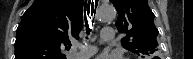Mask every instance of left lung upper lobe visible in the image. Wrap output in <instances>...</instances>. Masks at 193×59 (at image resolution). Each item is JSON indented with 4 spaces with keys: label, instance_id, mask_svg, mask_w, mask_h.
Returning a JSON list of instances; mask_svg holds the SVG:
<instances>
[{
    "label": "left lung upper lobe",
    "instance_id": "left-lung-upper-lobe-1",
    "mask_svg": "<svg viewBox=\"0 0 193 59\" xmlns=\"http://www.w3.org/2000/svg\"><path fill=\"white\" fill-rule=\"evenodd\" d=\"M116 7V27L126 34L121 40L123 47L137 55H151L158 50L154 14L147 0H110Z\"/></svg>",
    "mask_w": 193,
    "mask_h": 59
}]
</instances>
